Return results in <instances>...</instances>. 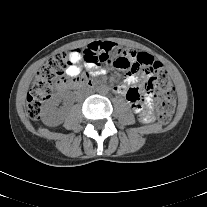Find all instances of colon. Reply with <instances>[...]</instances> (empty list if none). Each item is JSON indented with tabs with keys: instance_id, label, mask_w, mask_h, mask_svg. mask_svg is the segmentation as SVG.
<instances>
[{
	"instance_id": "obj_1",
	"label": "colon",
	"mask_w": 207,
	"mask_h": 207,
	"mask_svg": "<svg viewBox=\"0 0 207 207\" xmlns=\"http://www.w3.org/2000/svg\"><path fill=\"white\" fill-rule=\"evenodd\" d=\"M78 51L87 65H112L133 72H151L146 90L155 95L157 118L162 124L171 121L175 110L174 87L168 72L155 61L150 50H125L113 42L99 41ZM69 64V54L58 52L40 67L26 99L27 114L32 120L40 119L43 105L51 97L54 87L65 82L64 72Z\"/></svg>"
}]
</instances>
